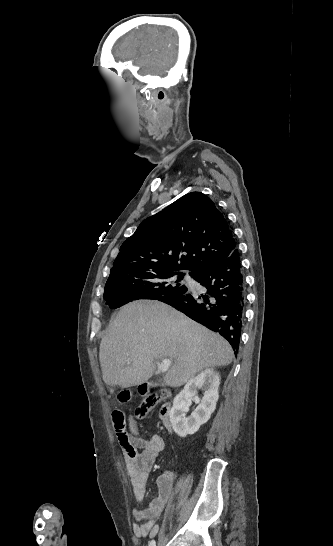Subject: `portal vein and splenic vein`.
<instances>
[{"label": "portal vein and splenic vein", "mask_w": 333, "mask_h": 546, "mask_svg": "<svg viewBox=\"0 0 333 546\" xmlns=\"http://www.w3.org/2000/svg\"><path fill=\"white\" fill-rule=\"evenodd\" d=\"M171 363H172V359H169V358L163 359L162 362L156 361L158 369L161 372H166L169 369Z\"/></svg>", "instance_id": "obj_1"}]
</instances>
